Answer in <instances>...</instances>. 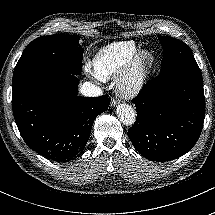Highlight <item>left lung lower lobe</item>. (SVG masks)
<instances>
[{
  "label": "left lung lower lobe",
  "mask_w": 215,
  "mask_h": 215,
  "mask_svg": "<svg viewBox=\"0 0 215 215\" xmlns=\"http://www.w3.org/2000/svg\"><path fill=\"white\" fill-rule=\"evenodd\" d=\"M132 102L137 118L128 136L147 159L163 162L179 158L197 142L205 118V97L196 61L160 73Z\"/></svg>",
  "instance_id": "0a47b994"
}]
</instances>
